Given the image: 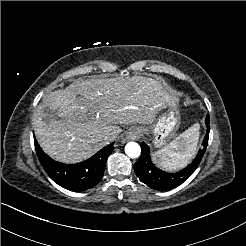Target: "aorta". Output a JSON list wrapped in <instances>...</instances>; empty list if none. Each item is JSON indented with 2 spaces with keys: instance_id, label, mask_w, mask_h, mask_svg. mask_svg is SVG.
<instances>
[{
  "instance_id": "obj_1",
  "label": "aorta",
  "mask_w": 246,
  "mask_h": 246,
  "mask_svg": "<svg viewBox=\"0 0 246 246\" xmlns=\"http://www.w3.org/2000/svg\"><path fill=\"white\" fill-rule=\"evenodd\" d=\"M125 153L130 158H137L141 154V148L136 142H129L125 146Z\"/></svg>"
}]
</instances>
